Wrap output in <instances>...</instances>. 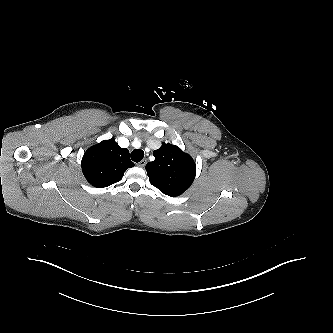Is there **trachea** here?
<instances>
[{
  "label": "trachea",
  "instance_id": "1",
  "mask_svg": "<svg viewBox=\"0 0 333 333\" xmlns=\"http://www.w3.org/2000/svg\"><path fill=\"white\" fill-rule=\"evenodd\" d=\"M144 157V151L140 149H135L131 152V159L138 163L140 162Z\"/></svg>",
  "mask_w": 333,
  "mask_h": 333
}]
</instances>
